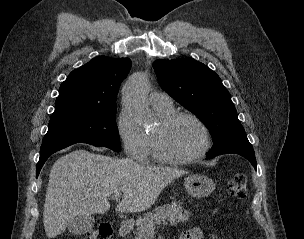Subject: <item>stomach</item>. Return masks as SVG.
Returning a JSON list of instances; mask_svg holds the SVG:
<instances>
[{
	"mask_svg": "<svg viewBox=\"0 0 304 239\" xmlns=\"http://www.w3.org/2000/svg\"><path fill=\"white\" fill-rule=\"evenodd\" d=\"M184 187L188 194L195 198L206 197L215 188L213 180L201 174H192L184 181Z\"/></svg>",
	"mask_w": 304,
	"mask_h": 239,
	"instance_id": "1",
	"label": "stomach"
}]
</instances>
